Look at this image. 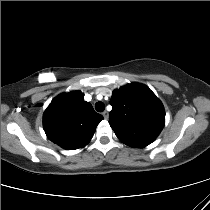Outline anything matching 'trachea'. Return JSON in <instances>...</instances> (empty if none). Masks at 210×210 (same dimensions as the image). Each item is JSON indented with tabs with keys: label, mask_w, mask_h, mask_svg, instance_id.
I'll return each instance as SVG.
<instances>
[{
	"label": "trachea",
	"mask_w": 210,
	"mask_h": 210,
	"mask_svg": "<svg viewBox=\"0 0 210 210\" xmlns=\"http://www.w3.org/2000/svg\"><path fill=\"white\" fill-rule=\"evenodd\" d=\"M95 109L98 112H103L105 110V104L103 102H97L95 104Z\"/></svg>",
	"instance_id": "trachea-1"
}]
</instances>
